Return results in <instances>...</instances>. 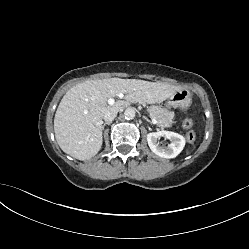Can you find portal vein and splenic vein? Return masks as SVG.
Masks as SVG:
<instances>
[{
    "instance_id": "obj_1",
    "label": "portal vein and splenic vein",
    "mask_w": 249,
    "mask_h": 249,
    "mask_svg": "<svg viewBox=\"0 0 249 249\" xmlns=\"http://www.w3.org/2000/svg\"><path fill=\"white\" fill-rule=\"evenodd\" d=\"M119 97L122 98L123 94H119ZM108 104L111 105V106L114 105L115 104V100L113 98L108 99ZM84 113L86 114L87 111H84ZM151 120H152L153 124H157V120L155 118L151 117Z\"/></svg>"
}]
</instances>
